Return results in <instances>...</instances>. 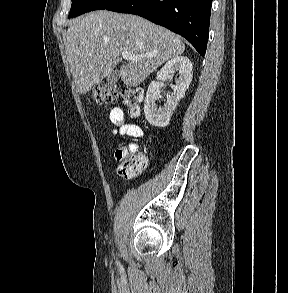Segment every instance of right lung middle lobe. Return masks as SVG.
Here are the masks:
<instances>
[{"instance_id":"obj_1","label":"right lung middle lobe","mask_w":288,"mask_h":293,"mask_svg":"<svg viewBox=\"0 0 288 293\" xmlns=\"http://www.w3.org/2000/svg\"><path fill=\"white\" fill-rule=\"evenodd\" d=\"M118 1L119 0H72L69 17H76L94 10L107 9Z\"/></svg>"}]
</instances>
